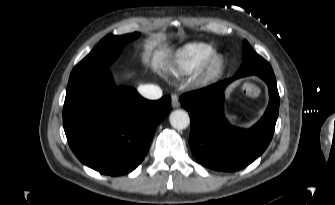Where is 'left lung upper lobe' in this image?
<instances>
[{"label": "left lung upper lobe", "instance_id": "1", "mask_svg": "<svg viewBox=\"0 0 335 205\" xmlns=\"http://www.w3.org/2000/svg\"><path fill=\"white\" fill-rule=\"evenodd\" d=\"M237 76H249V75H269L274 76V72L270 64L259 56L246 40L243 41V63L238 72Z\"/></svg>", "mask_w": 335, "mask_h": 205}]
</instances>
